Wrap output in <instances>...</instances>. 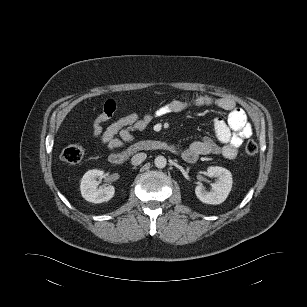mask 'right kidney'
<instances>
[{
	"label": "right kidney",
	"mask_w": 307,
	"mask_h": 307,
	"mask_svg": "<svg viewBox=\"0 0 307 307\" xmlns=\"http://www.w3.org/2000/svg\"><path fill=\"white\" fill-rule=\"evenodd\" d=\"M106 176L103 170L93 169L87 171L81 179L80 190L82 196L89 202L102 203L109 201L115 193L113 186L98 187L97 179Z\"/></svg>",
	"instance_id": "1"
}]
</instances>
